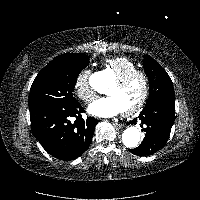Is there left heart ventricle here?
Listing matches in <instances>:
<instances>
[{"instance_id": "b2bd125f", "label": "left heart ventricle", "mask_w": 200, "mask_h": 200, "mask_svg": "<svg viewBox=\"0 0 200 200\" xmlns=\"http://www.w3.org/2000/svg\"><path fill=\"white\" fill-rule=\"evenodd\" d=\"M143 93V81L140 77H136L122 87H118L113 83L108 89L107 94L115 96L119 101L123 110L134 106Z\"/></svg>"}]
</instances>
